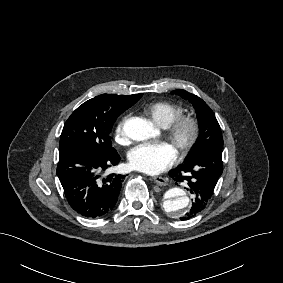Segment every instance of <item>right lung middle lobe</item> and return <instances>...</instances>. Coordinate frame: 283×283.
<instances>
[{
	"label": "right lung middle lobe",
	"instance_id": "1",
	"mask_svg": "<svg viewBox=\"0 0 283 283\" xmlns=\"http://www.w3.org/2000/svg\"><path fill=\"white\" fill-rule=\"evenodd\" d=\"M141 97L142 94H102L86 101L66 121L59 149L79 144L99 154L113 151L109 134L115 120Z\"/></svg>",
	"mask_w": 283,
	"mask_h": 283
}]
</instances>
